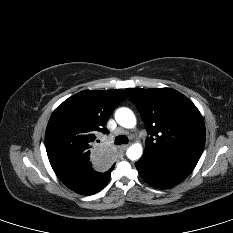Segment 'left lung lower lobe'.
I'll return each instance as SVG.
<instances>
[{
  "label": "left lung lower lobe",
  "instance_id": "obj_1",
  "mask_svg": "<svg viewBox=\"0 0 233 233\" xmlns=\"http://www.w3.org/2000/svg\"><path fill=\"white\" fill-rule=\"evenodd\" d=\"M198 160L188 156H158L144 152L135 166L149 185L167 189L182 182L193 171Z\"/></svg>",
  "mask_w": 233,
  "mask_h": 233
}]
</instances>
